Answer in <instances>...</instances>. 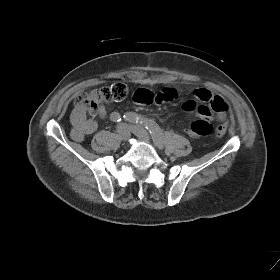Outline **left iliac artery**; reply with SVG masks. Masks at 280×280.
<instances>
[{
    "label": "left iliac artery",
    "instance_id": "1",
    "mask_svg": "<svg viewBox=\"0 0 280 280\" xmlns=\"http://www.w3.org/2000/svg\"><path fill=\"white\" fill-rule=\"evenodd\" d=\"M124 119L129 122L139 123L143 125L152 135L153 139L157 143H163L164 136L161 128L157 125V123L151 119L145 118L141 115H138L133 112L126 113Z\"/></svg>",
    "mask_w": 280,
    "mask_h": 280
}]
</instances>
